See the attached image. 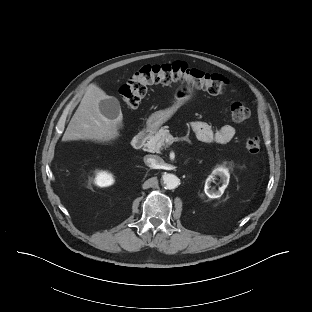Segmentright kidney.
I'll return each mask as SVG.
<instances>
[{
	"mask_svg": "<svg viewBox=\"0 0 312 312\" xmlns=\"http://www.w3.org/2000/svg\"><path fill=\"white\" fill-rule=\"evenodd\" d=\"M113 182L112 175L107 172H99L95 178V183L100 187L110 186Z\"/></svg>",
	"mask_w": 312,
	"mask_h": 312,
	"instance_id": "1",
	"label": "right kidney"
}]
</instances>
